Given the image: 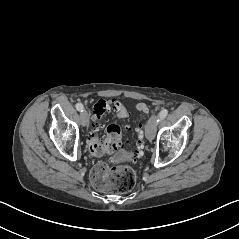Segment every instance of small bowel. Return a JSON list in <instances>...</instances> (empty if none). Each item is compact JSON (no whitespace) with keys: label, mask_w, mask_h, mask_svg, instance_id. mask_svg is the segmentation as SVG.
Returning a JSON list of instances; mask_svg holds the SVG:
<instances>
[{"label":"small bowel","mask_w":239,"mask_h":239,"mask_svg":"<svg viewBox=\"0 0 239 239\" xmlns=\"http://www.w3.org/2000/svg\"><path fill=\"white\" fill-rule=\"evenodd\" d=\"M113 107L116 110L117 114L121 111H126L123 104L118 101H113Z\"/></svg>","instance_id":"small-bowel-1"}]
</instances>
